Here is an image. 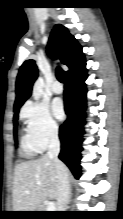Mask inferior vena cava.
<instances>
[{"label":"inferior vena cava","mask_w":123,"mask_h":219,"mask_svg":"<svg viewBox=\"0 0 123 219\" xmlns=\"http://www.w3.org/2000/svg\"><path fill=\"white\" fill-rule=\"evenodd\" d=\"M60 152V141L58 138V129L54 128L50 134V144L47 152V156L53 160L57 172L58 178V194H57V211H65L67 204L69 203L70 196V184L68 169L58 159Z\"/></svg>","instance_id":"obj_1"}]
</instances>
